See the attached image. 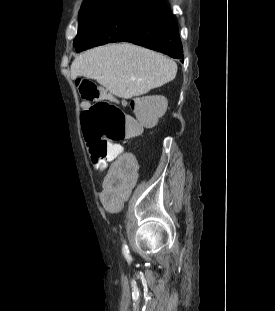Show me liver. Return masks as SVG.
I'll return each instance as SVG.
<instances>
[{"label": "liver", "instance_id": "6515ba94", "mask_svg": "<svg viewBox=\"0 0 275 311\" xmlns=\"http://www.w3.org/2000/svg\"><path fill=\"white\" fill-rule=\"evenodd\" d=\"M172 59L129 43L90 49L71 64V77L96 80L117 97L130 99L148 93L176 77Z\"/></svg>", "mask_w": 275, "mask_h": 311}]
</instances>
